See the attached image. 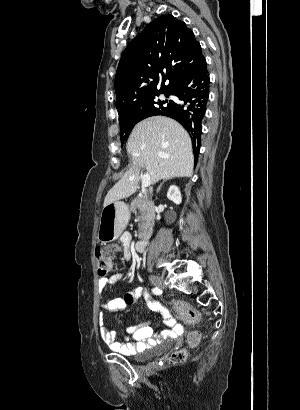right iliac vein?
Returning <instances> with one entry per match:
<instances>
[{"label":"right iliac vein","instance_id":"63e3f726","mask_svg":"<svg viewBox=\"0 0 300 410\" xmlns=\"http://www.w3.org/2000/svg\"><path fill=\"white\" fill-rule=\"evenodd\" d=\"M149 280L154 286L158 288H164V279L162 277L157 275H150Z\"/></svg>","mask_w":300,"mask_h":410}]
</instances>
